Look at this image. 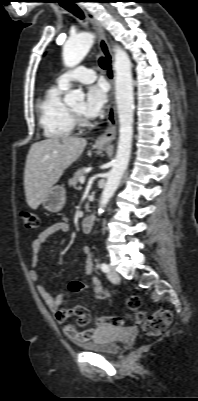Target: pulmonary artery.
I'll return each instance as SVG.
<instances>
[{
	"mask_svg": "<svg viewBox=\"0 0 198 401\" xmlns=\"http://www.w3.org/2000/svg\"><path fill=\"white\" fill-rule=\"evenodd\" d=\"M96 73L94 70L86 67H79L75 71H67L61 74L58 79V85L67 88L72 82L91 83L95 80Z\"/></svg>",
	"mask_w": 198,
	"mask_h": 401,
	"instance_id": "e3ab8cb5",
	"label": "pulmonary artery"
}]
</instances>
